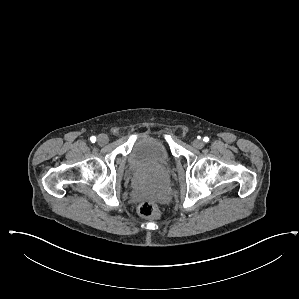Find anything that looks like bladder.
<instances>
[{
    "label": "bladder",
    "mask_w": 299,
    "mask_h": 299,
    "mask_svg": "<svg viewBox=\"0 0 299 299\" xmlns=\"http://www.w3.org/2000/svg\"><path fill=\"white\" fill-rule=\"evenodd\" d=\"M171 153L159 138L143 136L133 146L128 163L134 172L161 171L171 163Z\"/></svg>",
    "instance_id": "bladder-1"
}]
</instances>
